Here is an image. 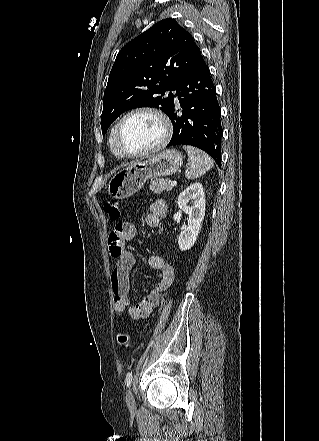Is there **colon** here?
I'll return each mask as SVG.
<instances>
[{"instance_id":"obj_1","label":"colon","mask_w":319,"mask_h":441,"mask_svg":"<svg viewBox=\"0 0 319 441\" xmlns=\"http://www.w3.org/2000/svg\"><path fill=\"white\" fill-rule=\"evenodd\" d=\"M103 209L108 218L112 222L119 221L121 217L120 204L117 201H107L104 203ZM117 343L121 348H129L131 345V336L125 329H121L117 333Z\"/></svg>"}]
</instances>
